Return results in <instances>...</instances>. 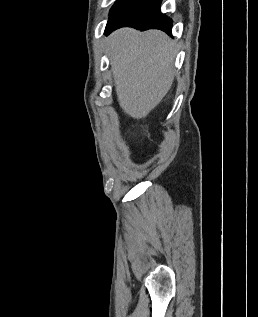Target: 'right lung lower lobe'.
Returning a JSON list of instances; mask_svg holds the SVG:
<instances>
[{
    "mask_svg": "<svg viewBox=\"0 0 258 317\" xmlns=\"http://www.w3.org/2000/svg\"><path fill=\"white\" fill-rule=\"evenodd\" d=\"M162 0H117L110 9L105 35L130 26L141 31L160 29L171 35V19L160 11Z\"/></svg>",
    "mask_w": 258,
    "mask_h": 317,
    "instance_id": "1",
    "label": "right lung lower lobe"
}]
</instances>
